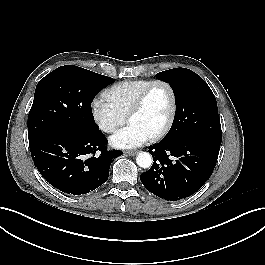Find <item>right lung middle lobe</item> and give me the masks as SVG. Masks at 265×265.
<instances>
[{
	"mask_svg": "<svg viewBox=\"0 0 265 265\" xmlns=\"http://www.w3.org/2000/svg\"><path fill=\"white\" fill-rule=\"evenodd\" d=\"M113 81L75 65H64L47 74L36 86L28 115L29 140L63 132L98 131L91 103Z\"/></svg>",
	"mask_w": 265,
	"mask_h": 265,
	"instance_id": "dd1d6c3e",
	"label": "right lung middle lobe"
}]
</instances>
